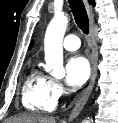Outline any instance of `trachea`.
Wrapping results in <instances>:
<instances>
[{"mask_svg":"<svg viewBox=\"0 0 118 123\" xmlns=\"http://www.w3.org/2000/svg\"><path fill=\"white\" fill-rule=\"evenodd\" d=\"M77 26L84 34L89 32V19L82 0H68Z\"/></svg>","mask_w":118,"mask_h":123,"instance_id":"obj_1","label":"trachea"}]
</instances>
